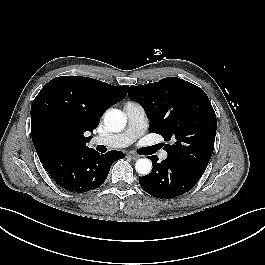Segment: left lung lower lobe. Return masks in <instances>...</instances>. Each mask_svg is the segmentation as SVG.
<instances>
[{"instance_id": "0a47b994", "label": "left lung lower lobe", "mask_w": 265, "mask_h": 265, "mask_svg": "<svg viewBox=\"0 0 265 265\" xmlns=\"http://www.w3.org/2000/svg\"><path fill=\"white\" fill-rule=\"evenodd\" d=\"M149 159L153 165L152 172L140 177L139 184L153 197L170 199L180 196L188 192L203 175V172L169 159L158 163L156 155Z\"/></svg>"}]
</instances>
